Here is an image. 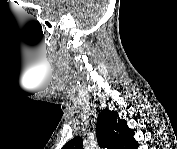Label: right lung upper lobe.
I'll use <instances>...</instances> for the list:
<instances>
[{
    "instance_id": "1",
    "label": "right lung upper lobe",
    "mask_w": 177,
    "mask_h": 149,
    "mask_svg": "<svg viewBox=\"0 0 177 149\" xmlns=\"http://www.w3.org/2000/svg\"><path fill=\"white\" fill-rule=\"evenodd\" d=\"M98 144L107 149H134L137 141L134 140V130L127 126L125 120L119 118L117 111L101 110L96 126ZM64 149H83L81 137H75L63 146Z\"/></svg>"
}]
</instances>
